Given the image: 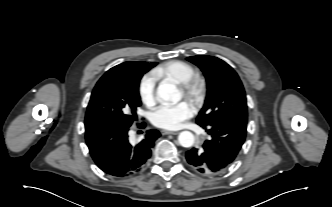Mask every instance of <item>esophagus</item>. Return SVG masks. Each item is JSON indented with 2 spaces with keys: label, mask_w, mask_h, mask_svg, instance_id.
Here are the masks:
<instances>
[{
  "label": "esophagus",
  "mask_w": 332,
  "mask_h": 207,
  "mask_svg": "<svg viewBox=\"0 0 332 207\" xmlns=\"http://www.w3.org/2000/svg\"><path fill=\"white\" fill-rule=\"evenodd\" d=\"M161 133H162V135L177 134V132H175V131H168V130H162Z\"/></svg>",
  "instance_id": "34e87169"
}]
</instances>
